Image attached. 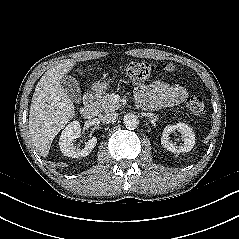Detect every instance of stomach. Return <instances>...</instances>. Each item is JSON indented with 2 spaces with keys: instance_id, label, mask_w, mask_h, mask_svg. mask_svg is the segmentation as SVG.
I'll return each instance as SVG.
<instances>
[{
  "instance_id": "obj_1",
  "label": "stomach",
  "mask_w": 239,
  "mask_h": 239,
  "mask_svg": "<svg viewBox=\"0 0 239 239\" xmlns=\"http://www.w3.org/2000/svg\"><path fill=\"white\" fill-rule=\"evenodd\" d=\"M107 88V83L105 82H96L93 84V89L96 92H102Z\"/></svg>"
}]
</instances>
